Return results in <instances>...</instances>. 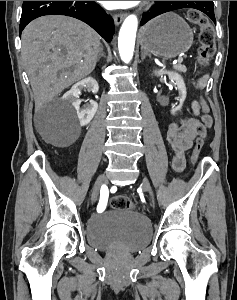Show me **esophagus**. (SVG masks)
Segmentation results:
<instances>
[{"instance_id": "1", "label": "esophagus", "mask_w": 237, "mask_h": 300, "mask_svg": "<svg viewBox=\"0 0 237 300\" xmlns=\"http://www.w3.org/2000/svg\"><path fill=\"white\" fill-rule=\"evenodd\" d=\"M124 18H125L124 14H115L114 15V22H115L116 26H118L120 23H122Z\"/></svg>"}]
</instances>
